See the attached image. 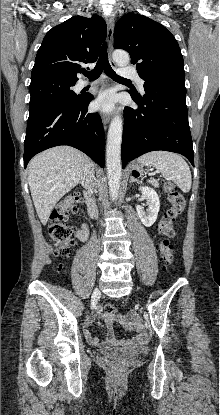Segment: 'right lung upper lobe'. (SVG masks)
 <instances>
[{
	"mask_svg": "<svg viewBox=\"0 0 220 415\" xmlns=\"http://www.w3.org/2000/svg\"><path fill=\"white\" fill-rule=\"evenodd\" d=\"M107 35L102 17L74 16L52 28L37 52L31 81L55 78L77 82L81 64L97 60Z\"/></svg>",
	"mask_w": 220,
	"mask_h": 415,
	"instance_id": "right-lung-upper-lobe-1",
	"label": "right lung upper lobe"
}]
</instances>
